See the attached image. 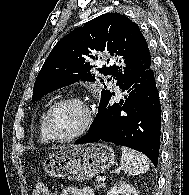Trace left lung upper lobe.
<instances>
[{
    "label": "left lung upper lobe",
    "instance_id": "5c2ea615",
    "mask_svg": "<svg viewBox=\"0 0 189 195\" xmlns=\"http://www.w3.org/2000/svg\"><path fill=\"white\" fill-rule=\"evenodd\" d=\"M99 52L118 58L115 63L107 59L104 66L91 65L90 59H101ZM150 61L148 45L138 25L119 13L103 14L74 29L55 45L36 78L32 101L79 80L95 81L91 69L112 75L120 85ZM112 94L102 90L99 108Z\"/></svg>",
    "mask_w": 189,
    "mask_h": 195
}]
</instances>
